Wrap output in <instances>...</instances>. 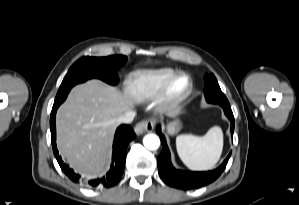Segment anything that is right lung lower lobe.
Wrapping results in <instances>:
<instances>
[{
	"label": "right lung lower lobe",
	"mask_w": 299,
	"mask_h": 205,
	"mask_svg": "<svg viewBox=\"0 0 299 205\" xmlns=\"http://www.w3.org/2000/svg\"><path fill=\"white\" fill-rule=\"evenodd\" d=\"M60 104L53 105L51 117H50V130H51L53 152L63 172L72 181L81 182L88 188H97V187L109 188L117 184L124 170L127 146L129 142L132 139H134L136 136L133 129L129 125H121L118 127L115 134L114 143H113L112 164L109 172L106 175L96 179L80 180V176L75 174L73 170L70 169L69 166L62 161L61 157L58 155V151L56 148L55 116H56L57 108L59 107Z\"/></svg>",
	"instance_id": "obj_1"
}]
</instances>
